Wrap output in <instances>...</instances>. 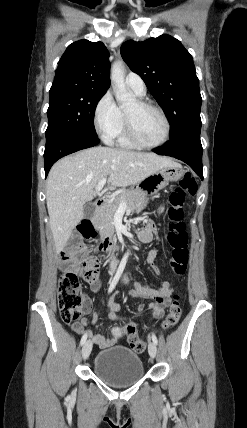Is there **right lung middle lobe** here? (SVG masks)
Here are the masks:
<instances>
[{
    "label": "right lung middle lobe",
    "instance_id": "right-lung-middle-lobe-1",
    "mask_svg": "<svg viewBox=\"0 0 247 428\" xmlns=\"http://www.w3.org/2000/svg\"><path fill=\"white\" fill-rule=\"evenodd\" d=\"M104 94L105 92L81 89L49 93L46 137L58 133L97 137L94 114L96 106Z\"/></svg>",
    "mask_w": 247,
    "mask_h": 428
}]
</instances>
